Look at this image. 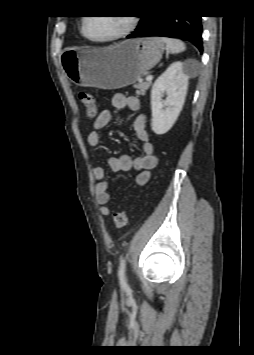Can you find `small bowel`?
<instances>
[{
	"instance_id": "c3829d8e",
	"label": "small bowel",
	"mask_w": 254,
	"mask_h": 355,
	"mask_svg": "<svg viewBox=\"0 0 254 355\" xmlns=\"http://www.w3.org/2000/svg\"><path fill=\"white\" fill-rule=\"evenodd\" d=\"M112 105L118 109L127 108L132 111H137L140 108V101L135 96H126L124 94L117 93L112 97ZM111 119L112 113L109 110L101 111L95 118L92 128L87 136L88 144L91 147L98 148L100 146V133L105 127L108 126ZM132 128L135 136L142 143V155L132 157L130 155L123 154L117 157H107L105 160L113 171H137L138 173L134 179L133 185L145 186L150 181L152 170L157 166L158 158L146 129V116L143 114L138 115L133 121ZM93 175L96 179L95 194L97 202L100 204V213L103 216H108L111 209L109 206V185L105 180V167L100 165L94 167Z\"/></svg>"
}]
</instances>
